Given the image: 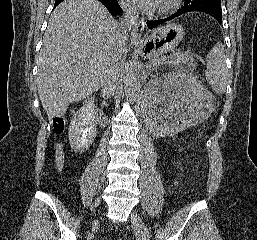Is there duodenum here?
Listing matches in <instances>:
<instances>
[{
  "instance_id": "duodenum-1",
  "label": "duodenum",
  "mask_w": 257,
  "mask_h": 240,
  "mask_svg": "<svg viewBox=\"0 0 257 240\" xmlns=\"http://www.w3.org/2000/svg\"><path fill=\"white\" fill-rule=\"evenodd\" d=\"M92 104H93V100H87V101H86V105H87V106H91Z\"/></svg>"
}]
</instances>
